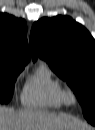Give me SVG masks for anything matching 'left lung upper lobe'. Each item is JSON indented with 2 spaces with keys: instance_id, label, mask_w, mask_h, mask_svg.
Returning a JSON list of instances; mask_svg holds the SVG:
<instances>
[{
  "instance_id": "obj_1",
  "label": "left lung upper lobe",
  "mask_w": 95,
  "mask_h": 130,
  "mask_svg": "<svg viewBox=\"0 0 95 130\" xmlns=\"http://www.w3.org/2000/svg\"><path fill=\"white\" fill-rule=\"evenodd\" d=\"M33 60L45 59L66 80L80 102L84 117L95 121V41L67 16L42 18L30 34Z\"/></svg>"
}]
</instances>
